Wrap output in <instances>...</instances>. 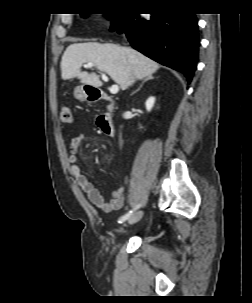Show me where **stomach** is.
Segmentation results:
<instances>
[{
  "mask_svg": "<svg viewBox=\"0 0 252 303\" xmlns=\"http://www.w3.org/2000/svg\"><path fill=\"white\" fill-rule=\"evenodd\" d=\"M87 89L88 87L86 85L77 86L74 90L75 98L81 101H86L89 97Z\"/></svg>",
  "mask_w": 252,
  "mask_h": 303,
  "instance_id": "1",
  "label": "stomach"
}]
</instances>
